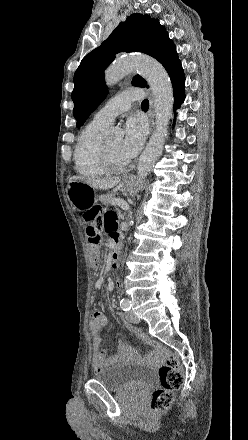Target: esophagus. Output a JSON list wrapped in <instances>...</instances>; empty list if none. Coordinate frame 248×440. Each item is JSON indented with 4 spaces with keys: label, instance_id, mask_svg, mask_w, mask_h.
Instances as JSON below:
<instances>
[{
    "label": "esophagus",
    "instance_id": "esophagus-1",
    "mask_svg": "<svg viewBox=\"0 0 248 440\" xmlns=\"http://www.w3.org/2000/svg\"><path fill=\"white\" fill-rule=\"evenodd\" d=\"M149 116H150V127L151 130L154 127V100L152 95H150V109H149Z\"/></svg>",
    "mask_w": 248,
    "mask_h": 440
}]
</instances>
